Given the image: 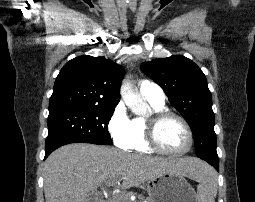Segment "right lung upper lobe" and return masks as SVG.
Segmentation results:
<instances>
[{
  "label": "right lung upper lobe",
  "mask_w": 255,
  "mask_h": 202,
  "mask_svg": "<svg viewBox=\"0 0 255 202\" xmlns=\"http://www.w3.org/2000/svg\"><path fill=\"white\" fill-rule=\"evenodd\" d=\"M123 76L122 66L104 57L70 60L56 78L49 114L86 106L116 107Z\"/></svg>",
  "instance_id": "obj_1"
}]
</instances>
